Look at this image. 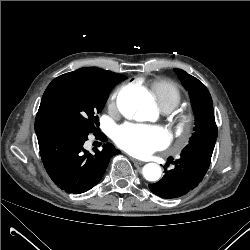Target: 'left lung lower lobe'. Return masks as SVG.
Listing matches in <instances>:
<instances>
[{
  "mask_svg": "<svg viewBox=\"0 0 250 250\" xmlns=\"http://www.w3.org/2000/svg\"><path fill=\"white\" fill-rule=\"evenodd\" d=\"M216 138H207L190 142L181 152V158L172 162L175 168L167 170L157 183L150 184V190L161 198H176L186 194L203 179L206 174Z\"/></svg>",
  "mask_w": 250,
  "mask_h": 250,
  "instance_id": "1",
  "label": "left lung lower lobe"
}]
</instances>
